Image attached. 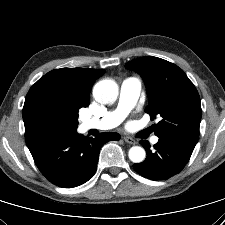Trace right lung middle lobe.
<instances>
[{"label": "right lung middle lobe", "mask_w": 225, "mask_h": 225, "mask_svg": "<svg viewBox=\"0 0 225 225\" xmlns=\"http://www.w3.org/2000/svg\"><path fill=\"white\" fill-rule=\"evenodd\" d=\"M86 106L87 104L80 102H46L40 108V117L47 129L75 131L79 109Z\"/></svg>", "instance_id": "1"}]
</instances>
